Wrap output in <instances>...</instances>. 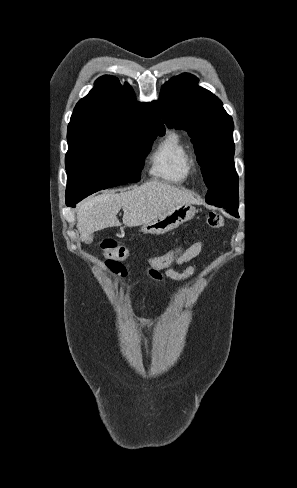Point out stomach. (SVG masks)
I'll return each instance as SVG.
<instances>
[{
  "mask_svg": "<svg viewBox=\"0 0 297 488\" xmlns=\"http://www.w3.org/2000/svg\"><path fill=\"white\" fill-rule=\"evenodd\" d=\"M197 210L192 204L176 205L141 227L143 233L164 234L191 220Z\"/></svg>",
  "mask_w": 297,
  "mask_h": 488,
  "instance_id": "stomach-1",
  "label": "stomach"
}]
</instances>
